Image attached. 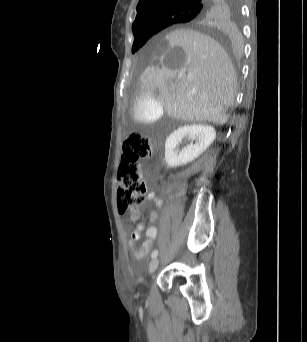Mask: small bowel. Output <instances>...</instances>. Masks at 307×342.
I'll return each mask as SVG.
<instances>
[{"instance_id":"1","label":"small bowel","mask_w":307,"mask_h":342,"mask_svg":"<svg viewBox=\"0 0 307 342\" xmlns=\"http://www.w3.org/2000/svg\"><path fill=\"white\" fill-rule=\"evenodd\" d=\"M147 199L149 201H155L156 205L158 207L162 206V201L159 199H156L153 193H149L147 195ZM158 221V215L155 211H152L150 213V222L152 225H150L146 230V239L142 242L139 248L136 247L135 242L139 240L141 232L144 230L145 226L143 223H140L137 228L130 234L129 238V249L131 254L136 259H142L144 258L148 252L150 251L153 241L157 236V226L156 223Z\"/></svg>"}]
</instances>
